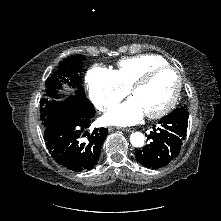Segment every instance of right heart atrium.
Here are the masks:
<instances>
[{"label":"right heart atrium","mask_w":221,"mask_h":221,"mask_svg":"<svg viewBox=\"0 0 221 221\" xmlns=\"http://www.w3.org/2000/svg\"><path fill=\"white\" fill-rule=\"evenodd\" d=\"M86 84L90 100L100 111L109 109L128 93L118 81L114 71L99 65L88 70Z\"/></svg>","instance_id":"d8ad5b80"}]
</instances>
